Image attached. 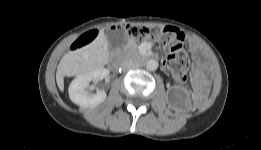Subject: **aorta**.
<instances>
[{
    "label": "aorta",
    "mask_w": 261,
    "mask_h": 150,
    "mask_svg": "<svg viewBox=\"0 0 261 150\" xmlns=\"http://www.w3.org/2000/svg\"><path fill=\"white\" fill-rule=\"evenodd\" d=\"M146 68L149 71H155L158 68V62L154 59L148 60L146 63Z\"/></svg>",
    "instance_id": "obj_1"
}]
</instances>
